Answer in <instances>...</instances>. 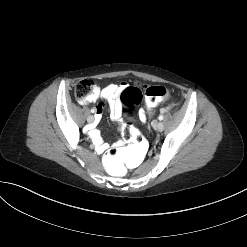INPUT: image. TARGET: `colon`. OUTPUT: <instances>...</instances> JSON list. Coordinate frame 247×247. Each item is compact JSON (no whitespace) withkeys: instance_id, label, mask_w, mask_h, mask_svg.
<instances>
[{"instance_id":"1","label":"colon","mask_w":247,"mask_h":247,"mask_svg":"<svg viewBox=\"0 0 247 247\" xmlns=\"http://www.w3.org/2000/svg\"><path fill=\"white\" fill-rule=\"evenodd\" d=\"M93 84L90 81L83 80L77 83L75 87V96L80 101L86 100L92 92ZM169 95L164 86H149L145 90V98L150 106H154L160 101L166 99ZM141 91L137 87H128L120 95L122 111L129 113L141 101ZM122 134L126 140L131 142L126 150H110L104 159L103 166L105 171L114 177H126L133 173L145 160L150 147L142 135L132 126L126 124L122 128Z\"/></svg>"}]
</instances>
